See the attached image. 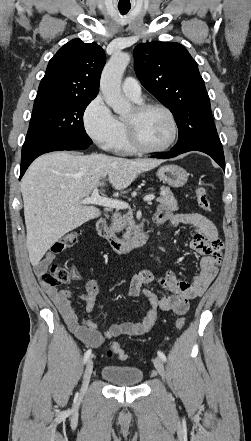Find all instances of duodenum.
Wrapping results in <instances>:
<instances>
[{
	"instance_id": "410a0bca",
	"label": "duodenum",
	"mask_w": 251,
	"mask_h": 441,
	"mask_svg": "<svg viewBox=\"0 0 251 441\" xmlns=\"http://www.w3.org/2000/svg\"><path fill=\"white\" fill-rule=\"evenodd\" d=\"M155 224L157 223L155 222ZM96 230L99 236L104 238L109 243L111 248L117 253H128L134 248L145 245L152 233V230H148L146 232L136 234L128 240L119 239L110 231L109 226L104 218L98 219L96 223Z\"/></svg>"
}]
</instances>
